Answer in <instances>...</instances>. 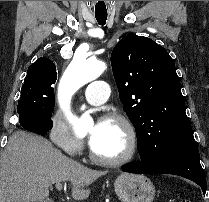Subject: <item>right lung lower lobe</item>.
<instances>
[{
  "instance_id": "98d812e1",
  "label": "right lung lower lobe",
  "mask_w": 209,
  "mask_h": 202,
  "mask_svg": "<svg viewBox=\"0 0 209 202\" xmlns=\"http://www.w3.org/2000/svg\"><path fill=\"white\" fill-rule=\"evenodd\" d=\"M20 125L25 128L28 131L34 132V133H46L48 132L52 126V121H37L34 119L26 118L23 120H19Z\"/></svg>"
}]
</instances>
